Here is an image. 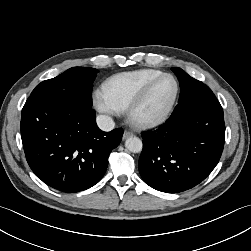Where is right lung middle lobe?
Here are the masks:
<instances>
[{
	"mask_svg": "<svg viewBox=\"0 0 251 251\" xmlns=\"http://www.w3.org/2000/svg\"><path fill=\"white\" fill-rule=\"evenodd\" d=\"M98 70L73 67L59 76L38 84L30 97L57 101L77 107H92V87Z\"/></svg>",
	"mask_w": 251,
	"mask_h": 251,
	"instance_id": "obj_1",
	"label": "right lung middle lobe"
}]
</instances>
